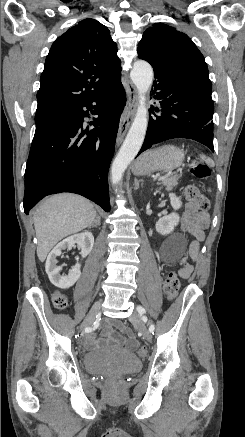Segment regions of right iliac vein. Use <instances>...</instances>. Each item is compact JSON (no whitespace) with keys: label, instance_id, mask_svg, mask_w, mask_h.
<instances>
[{"label":"right iliac vein","instance_id":"obj_1","mask_svg":"<svg viewBox=\"0 0 245 437\" xmlns=\"http://www.w3.org/2000/svg\"><path fill=\"white\" fill-rule=\"evenodd\" d=\"M100 307H101V301H97V302L94 303V305L90 309L87 317L85 318L84 322L81 325V330H83L84 328H86L87 326L92 324V322L94 321L97 313L100 310Z\"/></svg>","mask_w":245,"mask_h":437}]
</instances>
